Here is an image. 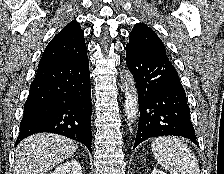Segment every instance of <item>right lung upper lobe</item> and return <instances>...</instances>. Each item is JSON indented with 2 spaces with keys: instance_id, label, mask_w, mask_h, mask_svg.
Wrapping results in <instances>:
<instances>
[{
  "instance_id": "obj_1",
  "label": "right lung upper lobe",
  "mask_w": 224,
  "mask_h": 174,
  "mask_svg": "<svg viewBox=\"0 0 224 174\" xmlns=\"http://www.w3.org/2000/svg\"><path fill=\"white\" fill-rule=\"evenodd\" d=\"M86 44L80 24L74 20L68 23L47 45L38 67L86 55Z\"/></svg>"
}]
</instances>
